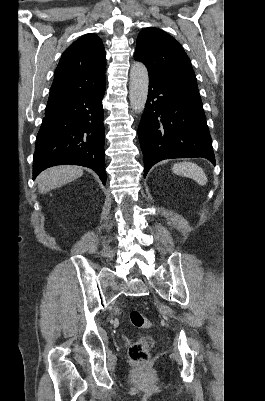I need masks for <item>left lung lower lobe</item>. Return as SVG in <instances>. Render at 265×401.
Instances as JSON below:
<instances>
[{"label":"left lung lower lobe","instance_id":"left-lung-lower-lobe-1","mask_svg":"<svg viewBox=\"0 0 265 401\" xmlns=\"http://www.w3.org/2000/svg\"><path fill=\"white\" fill-rule=\"evenodd\" d=\"M138 136L144 177L157 162L203 157L215 165L212 139L198 86L149 76V92Z\"/></svg>","mask_w":265,"mask_h":401}]
</instances>
